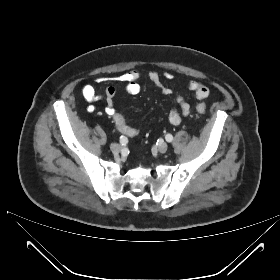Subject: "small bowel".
I'll use <instances>...</instances> for the list:
<instances>
[{
    "instance_id": "obj_1",
    "label": "small bowel",
    "mask_w": 280,
    "mask_h": 280,
    "mask_svg": "<svg viewBox=\"0 0 280 280\" xmlns=\"http://www.w3.org/2000/svg\"><path fill=\"white\" fill-rule=\"evenodd\" d=\"M115 81L121 82L125 84V89L127 93L131 95H136L140 91V73L137 70L127 71L115 76H112ZM173 75L170 72H164L160 75L157 72H150L148 74V79L161 91L163 95L169 96L173 94V90L170 87L164 85L163 80H171ZM187 88L192 91L195 97L198 100H204L209 96L208 87L196 80H190L187 82ZM81 93L84 99L89 104H94L95 102L104 99L107 102V106L105 107V112L109 115L117 129V131L127 137H134L138 134L137 129L128 125L125 121L124 116L117 112L113 107V99L116 94V90L112 86H108L104 89L102 93H98L95 87L91 84H85ZM176 102L178 104V108L171 109L169 113V121L173 125H178L182 122L184 117H188L192 108L191 105L185 100V98L181 95L176 96ZM90 111L94 110V107L90 105Z\"/></svg>"
}]
</instances>
